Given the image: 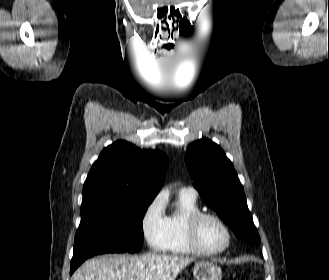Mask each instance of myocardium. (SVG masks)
Segmentation results:
<instances>
[{"label": "myocardium", "instance_id": "f54148a6", "mask_svg": "<svg viewBox=\"0 0 329 280\" xmlns=\"http://www.w3.org/2000/svg\"><path fill=\"white\" fill-rule=\"evenodd\" d=\"M214 219L216 220L225 230L226 233V243L219 249L207 250L205 249L199 241V226L204 219ZM186 237L188 244L192 251L196 254L203 256H218L226 252L231 246L233 240V234L228 226L227 222L217 213L210 211H198L192 214L186 222Z\"/></svg>", "mask_w": 329, "mask_h": 280}]
</instances>
